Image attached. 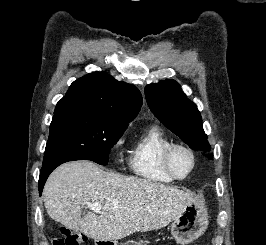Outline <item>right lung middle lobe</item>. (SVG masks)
Here are the masks:
<instances>
[{"label":"right lung middle lobe","mask_w":266,"mask_h":245,"mask_svg":"<svg viewBox=\"0 0 266 245\" xmlns=\"http://www.w3.org/2000/svg\"><path fill=\"white\" fill-rule=\"evenodd\" d=\"M128 122L94 112H70L53 117L43 165L57 160H91L107 164L110 148Z\"/></svg>","instance_id":"obj_1"}]
</instances>
